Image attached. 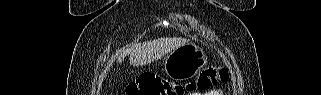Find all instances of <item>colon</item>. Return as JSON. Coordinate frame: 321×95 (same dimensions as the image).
Segmentation results:
<instances>
[{
  "label": "colon",
  "mask_w": 321,
  "mask_h": 95,
  "mask_svg": "<svg viewBox=\"0 0 321 95\" xmlns=\"http://www.w3.org/2000/svg\"><path fill=\"white\" fill-rule=\"evenodd\" d=\"M229 74L223 68H204L194 82L177 84L155 75H143L129 84L127 95H184L207 90L218 83L227 82Z\"/></svg>",
  "instance_id": "obj_1"
}]
</instances>
